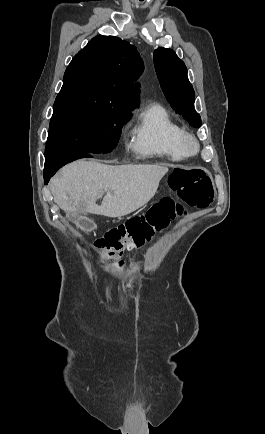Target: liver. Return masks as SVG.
Returning a JSON list of instances; mask_svg holds the SVG:
<instances>
[{"instance_id":"obj_1","label":"liver","mask_w":265,"mask_h":434,"mask_svg":"<svg viewBox=\"0 0 265 434\" xmlns=\"http://www.w3.org/2000/svg\"><path fill=\"white\" fill-rule=\"evenodd\" d=\"M168 168L149 164L106 166L96 160H78L64 166L51 180L53 200L68 218L98 214L120 218L147 204L157 192ZM107 188L101 206L96 198Z\"/></svg>"}]
</instances>
